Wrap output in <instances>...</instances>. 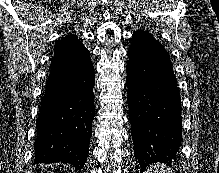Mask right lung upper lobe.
Wrapping results in <instances>:
<instances>
[{"instance_id": "obj_1", "label": "right lung upper lobe", "mask_w": 219, "mask_h": 173, "mask_svg": "<svg viewBox=\"0 0 219 173\" xmlns=\"http://www.w3.org/2000/svg\"><path fill=\"white\" fill-rule=\"evenodd\" d=\"M88 52L82 42L75 35H67L54 45V58L60 63H67L75 56H82Z\"/></svg>"}]
</instances>
